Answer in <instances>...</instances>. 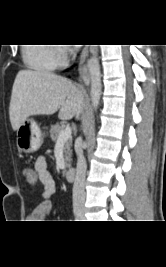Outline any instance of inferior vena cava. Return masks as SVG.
Masks as SVG:
<instances>
[{
    "label": "inferior vena cava",
    "mask_w": 166,
    "mask_h": 267,
    "mask_svg": "<svg viewBox=\"0 0 166 267\" xmlns=\"http://www.w3.org/2000/svg\"><path fill=\"white\" fill-rule=\"evenodd\" d=\"M76 176L73 184V209L78 211L84 208L85 202V176L87 164L82 149L77 150Z\"/></svg>",
    "instance_id": "inferior-vena-cava-1"
}]
</instances>
